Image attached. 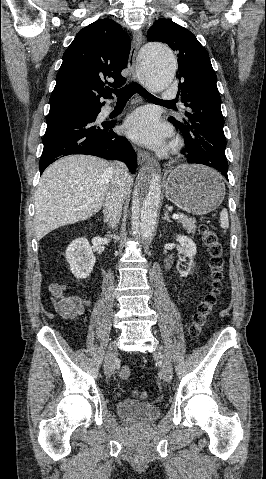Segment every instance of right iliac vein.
I'll return each mask as SVG.
<instances>
[{
    "label": "right iliac vein",
    "mask_w": 266,
    "mask_h": 479,
    "mask_svg": "<svg viewBox=\"0 0 266 479\" xmlns=\"http://www.w3.org/2000/svg\"><path fill=\"white\" fill-rule=\"evenodd\" d=\"M117 356V342L113 341L110 343L104 364V372L106 376H110L115 369V358Z\"/></svg>",
    "instance_id": "63e3f726"
}]
</instances>
